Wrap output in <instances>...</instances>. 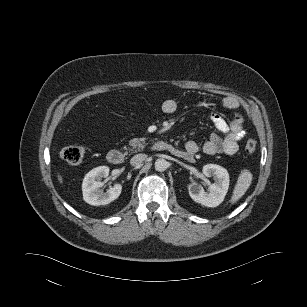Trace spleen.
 I'll return each mask as SVG.
<instances>
[{"label": "spleen", "instance_id": "spleen-1", "mask_svg": "<svg viewBox=\"0 0 307 307\" xmlns=\"http://www.w3.org/2000/svg\"><path fill=\"white\" fill-rule=\"evenodd\" d=\"M252 178V173L249 170L241 171L230 200L232 204L236 203L246 193L251 185Z\"/></svg>", "mask_w": 307, "mask_h": 307}]
</instances>
